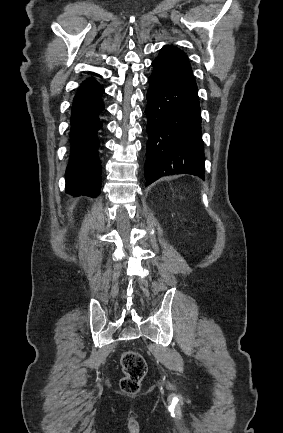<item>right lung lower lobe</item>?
Wrapping results in <instances>:
<instances>
[{"label":"right lung lower lobe","mask_w":283,"mask_h":433,"mask_svg":"<svg viewBox=\"0 0 283 433\" xmlns=\"http://www.w3.org/2000/svg\"><path fill=\"white\" fill-rule=\"evenodd\" d=\"M103 88L93 78L78 89L71 114V157L66 170V192L96 197L101 187V165L97 148L98 115L104 109Z\"/></svg>","instance_id":"98d812e1"}]
</instances>
